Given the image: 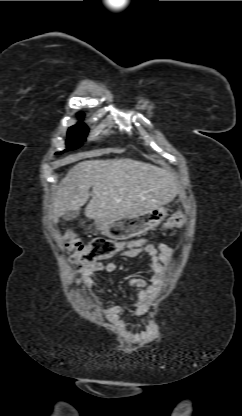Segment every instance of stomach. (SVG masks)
<instances>
[{"label":"stomach","instance_id":"stomach-1","mask_svg":"<svg viewBox=\"0 0 242 416\" xmlns=\"http://www.w3.org/2000/svg\"><path fill=\"white\" fill-rule=\"evenodd\" d=\"M168 216V209L157 207L137 215L116 219L95 220L98 232L113 240H127L147 233L157 227Z\"/></svg>","mask_w":242,"mask_h":416}]
</instances>
